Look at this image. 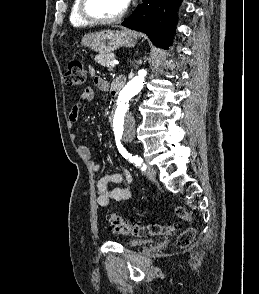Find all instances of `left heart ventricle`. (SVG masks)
<instances>
[{
  "instance_id": "obj_1",
  "label": "left heart ventricle",
  "mask_w": 259,
  "mask_h": 294,
  "mask_svg": "<svg viewBox=\"0 0 259 294\" xmlns=\"http://www.w3.org/2000/svg\"><path fill=\"white\" fill-rule=\"evenodd\" d=\"M88 12L98 18L118 15L124 8L122 0H88Z\"/></svg>"
}]
</instances>
